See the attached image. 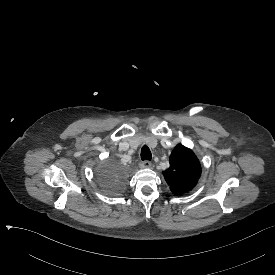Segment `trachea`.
<instances>
[{
    "label": "trachea",
    "mask_w": 275,
    "mask_h": 275,
    "mask_svg": "<svg viewBox=\"0 0 275 275\" xmlns=\"http://www.w3.org/2000/svg\"><path fill=\"white\" fill-rule=\"evenodd\" d=\"M152 158V154L150 149L148 148L147 145H143V147L141 148V159L142 160H151Z\"/></svg>",
    "instance_id": "trachea-1"
}]
</instances>
